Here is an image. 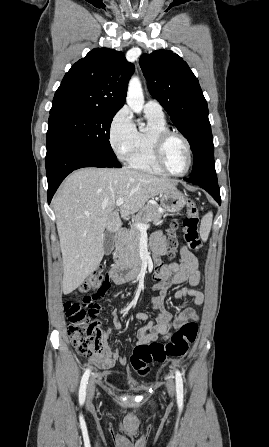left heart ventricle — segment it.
Listing matches in <instances>:
<instances>
[{"label":"left heart ventricle","mask_w":269,"mask_h":447,"mask_svg":"<svg viewBox=\"0 0 269 447\" xmlns=\"http://www.w3.org/2000/svg\"><path fill=\"white\" fill-rule=\"evenodd\" d=\"M166 161L177 172L183 171L188 162L186 146L178 138H172L166 145Z\"/></svg>","instance_id":"1"}]
</instances>
